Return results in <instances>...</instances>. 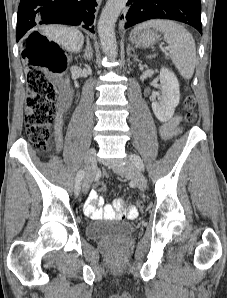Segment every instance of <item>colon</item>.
<instances>
[{
    "instance_id": "1",
    "label": "colon",
    "mask_w": 227,
    "mask_h": 298,
    "mask_svg": "<svg viewBox=\"0 0 227 298\" xmlns=\"http://www.w3.org/2000/svg\"><path fill=\"white\" fill-rule=\"evenodd\" d=\"M50 41L39 36L34 43V47L28 52V97L25 104V125L28 136L33 142V147L37 151H45L51 139V127L57 120L58 106L57 90L48 77L47 70H55L54 59L50 55ZM196 100L194 96L188 95L185 98L187 109L186 119L188 122L196 120L194 111ZM96 191L105 189L103 182H96ZM140 213H145L143 202H138ZM134 216L136 213H130Z\"/></svg>"
}]
</instances>
